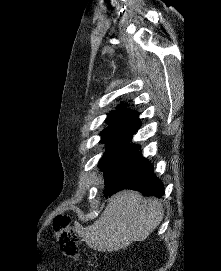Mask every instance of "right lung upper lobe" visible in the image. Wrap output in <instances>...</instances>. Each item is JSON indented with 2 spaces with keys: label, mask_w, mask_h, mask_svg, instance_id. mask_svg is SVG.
I'll return each mask as SVG.
<instances>
[{
  "label": "right lung upper lobe",
  "mask_w": 221,
  "mask_h": 271,
  "mask_svg": "<svg viewBox=\"0 0 221 271\" xmlns=\"http://www.w3.org/2000/svg\"><path fill=\"white\" fill-rule=\"evenodd\" d=\"M126 105L121 104L118 110H114L108 114L107 124L104 130H132L137 131L141 126L136 111L125 109Z\"/></svg>",
  "instance_id": "cb5924a9"
}]
</instances>
